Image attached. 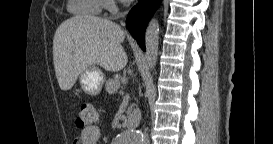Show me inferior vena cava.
I'll return each instance as SVG.
<instances>
[{
  "label": "inferior vena cava",
  "instance_id": "602c4592",
  "mask_svg": "<svg viewBox=\"0 0 273 144\" xmlns=\"http://www.w3.org/2000/svg\"><path fill=\"white\" fill-rule=\"evenodd\" d=\"M143 142L144 144H149V138H148V134L146 133V129L143 136Z\"/></svg>",
  "mask_w": 273,
  "mask_h": 144
}]
</instances>
